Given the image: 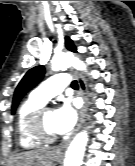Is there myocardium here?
Listing matches in <instances>:
<instances>
[{
    "mask_svg": "<svg viewBox=\"0 0 135 166\" xmlns=\"http://www.w3.org/2000/svg\"><path fill=\"white\" fill-rule=\"evenodd\" d=\"M48 111H50L49 107L42 106L29 115L26 123L29 134L40 143L45 144L53 143L57 140V135L48 134L43 125V117Z\"/></svg>",
    "mask_w": 135,
    "mask_h": 166,
    "instance_id": "f54148a6",
    "label": "myocardium"
}]
</instances>
